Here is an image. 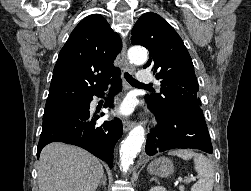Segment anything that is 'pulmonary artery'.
<instances>
[{
    "mask_svg": "<svg viewBox=\"0 0 251 191\" xmlns=\"http://www.w3.org/2000/svg\"><path fill=\"white\" fill-rule=\"evenodd\" d=\"M149 68H140V73H137V78H140V82H154L155 73H149Z\"/></svg>",
    "mask_w": 251,
    "mask_h": 191,
    "instance_id": "e3ab8cb5",
    "label": "pulmonary artery"
}]
</instances>
